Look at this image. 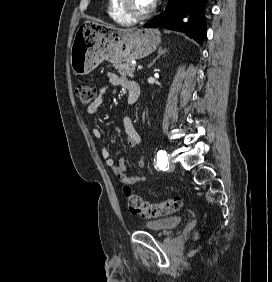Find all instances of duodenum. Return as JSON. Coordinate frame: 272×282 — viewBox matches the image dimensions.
<instances>
[{
    "mask_svg": "<svg viewBox=\"0 0 272 282\" xmlns=\"http://www.w3.org/2000/svg\"><path fill=\"white\" fill-rule=\"evenodd\" d=\"M127 90H128L127 104L132 105V104L136 103V101L138 100V98L140 96V87H139L138 83H136L132 80H128L127 81Z\"/></svg>",
    "mask_w": 272,
    "mask_h": 282,
    "instance_id": "410a0bca",
    "label": "duodenum"
}]
</instances>
